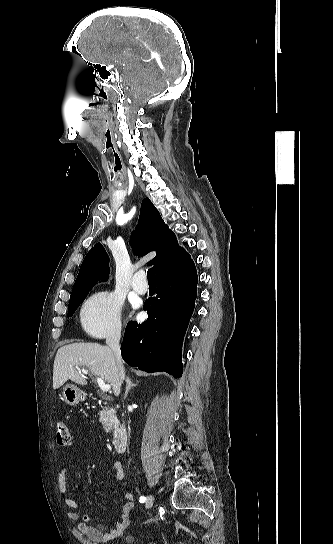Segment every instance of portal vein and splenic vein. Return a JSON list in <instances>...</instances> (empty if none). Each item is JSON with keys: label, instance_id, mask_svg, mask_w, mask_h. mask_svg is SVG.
Instances as JSON below:
<instances>
[{"label": "portal vein and splenic vein", "instance_id": "obj_1", "mask_svg": "<svg viewBox=\"0 0 333 544\" xmlns=\"http://www.w3.org/2000/svg\"><path fill=\"white\" fill-rule=\"evenodd\" d=\"M76 368L81 371L82 373L84 374H88V370L87 369H80L78 366H76ZM97 383H98V386L100 387V389L104 392H108L110 391L111 389V385L110 384H105L104 380L100 377H97Z\"/></svg>", "mask_w": 333, "mask_h": 544}]
</instances>
